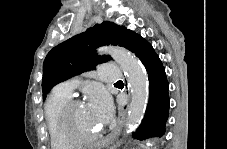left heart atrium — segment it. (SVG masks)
I'll use <instances>...</instances> for the list:
<instances>
[{"mask_svg": "<svg viewBox=\"0 0 227 149\" xmlns=\"http://www.w3.org/2000/svg\"><path fill=\"white\" fill-rule=\"evenodd\" d=\"M94 112L100 124L106 123L112 114V104L108 95L104 92H97L94 95Z\"/></svg>", "mask_w": 227, "mask_h": 149, "instance_id": "1", "label": "left heart atrium"}]
</instances>
